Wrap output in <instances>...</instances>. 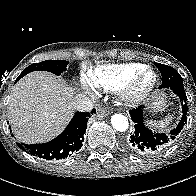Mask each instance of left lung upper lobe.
<instances>
[{
	"label": "left lung upper lobe",
	"instance_id": "obj_1",
	"mask_svg": "<svg viewBox=\"0 0 196 196\" xmlns=\"http://www.w3.org/2000/svg\"><path fill=\"white\" fill-rule=\"evenodd\" d=\"M155 65L158 67L159 70H160V66H167V65H164V64H160V63H155ZM167 67L172 68L171 66H167ZM179 76H180V74H179ZM179 80H180L181 83H183L181 76H180V79ZM161 86L162 87H165L166 85H165V83H162Z\"/></svg>",
	"mask_w": 196,
	"mask_h": 196
}]
</instances>
